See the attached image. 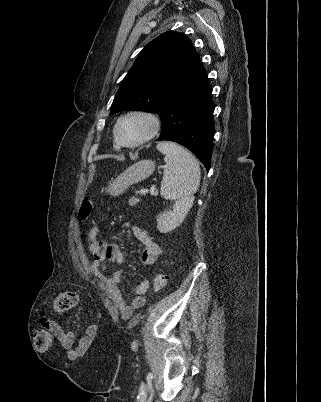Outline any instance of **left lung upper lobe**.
I'll use <instances>...</instances> for the list:
<instances>
[{
    "label": "left lung upper lobe",
    "instance_id": "5c2ea615",
    "mask_svg": "<svg viewBox=\"0 0 321 402\" xmlns=\"http://www.w3.org/2000/svg\"><path fill=\"white\" fill-rule=\"evenodd\" d=\"M192 42L166 32L148 43L123 79L110 114L140 110L160 115L168 94L199 64Z\"/></svg>",
    "mask_w": 321,
    "mask_h": 402
}]
</instances>
